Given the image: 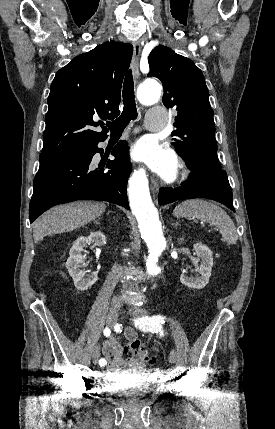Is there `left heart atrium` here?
Returning a JSON list of instances; mask_svg holds the SVG:
<instances>
[{"label": "left heart atrium", "instance_id": "1", "mask_svg": "<svg viewBox=\"0 0 275 429\" xmlns=\"http://www.w3.org/2000/svg\"><path fill=\"white\" fill-rule=\"evenodd\" d=\"M136 160L147 163L154 171L165 178H171L176 171V158L171 150L154 141H140L133 150Z\"/></svg>", "mask_w": 275, "mask_h": 429}]
</instances>
